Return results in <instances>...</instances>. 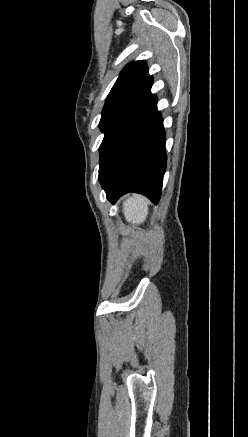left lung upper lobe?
I'll return each mask as SVG.
<instances>
[{
    "label": "left lung upper lobe",
    "mask_w": 248,
    "mask_h": 437,
    "mask_svg": "<svg viewBox=\"0 0 248 437\" xmlns=\"http://www.w3.org/2000/svg\"><path fill=\"white\" fill-rule=\"evenodd\" d=\"M152 83L144 60L131 62L121 71L102 110L99 127L105 136L99 149L100 157L117 128L153 96Z\"/></svg>",
    "instance_id": "obj_1"
}]
</instances>
